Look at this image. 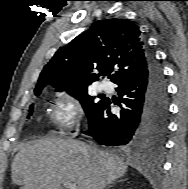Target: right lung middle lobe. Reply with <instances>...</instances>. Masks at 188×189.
<instances>
[{"instance_id":"dd1d6c3e","label":"right lung middle lobe","mask_w":188,"mask_h":189,"mask_svg":"<svg viewBox=\"0 0 188 189\" xmlns=\"http://www.w3.org/2000/svg\"><path fill=\"white\" fill-rule=\"evenodd\" d=\"M57 91H67L70 95L75 97L80 101L82 104V107L88 117V120H90L94 114L97 112V110L100 108L104 100H100L99 102L94 101V97H91L88 95L87 88L82 89H70V88H60L57 89ZM41 92H36L35 95L38 96ZM33 113V104L29 107V115H32Z\"/></svg>"}]
</instances>
